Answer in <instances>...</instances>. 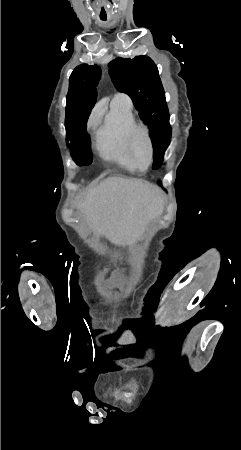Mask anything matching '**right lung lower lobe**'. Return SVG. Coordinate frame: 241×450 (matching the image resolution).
Masks as SVG:
<instances>
[{
	"instance_id": "98d812e1",
	"label": "right lung lower lobe",
	"mask_w": 241,
	"mask_h": 450,
	"mask_svg": "<svg viewBox=\"0 0 241 450\" xmlns=\"http://www.w3.org/2000/svg\"><path fill=\"white\" fill-rule=\"evenodd\" d=\"M89 114L90 111L79 116L73 125L69 136V139L73 141L72 154L90 147L86 132V122Z\"/></svg>"
}]
</instances>
